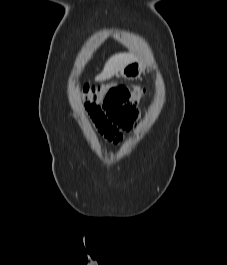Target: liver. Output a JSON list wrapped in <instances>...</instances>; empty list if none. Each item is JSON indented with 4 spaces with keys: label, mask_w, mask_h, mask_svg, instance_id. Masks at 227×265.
Here are the masks:
<instances>
[{
    "label": "liver",
    "mask_w": 227,
    "mask_h": 265,
    "mask_svg": "<svg viewBox=\"0 0 227 265\" xmlns=\"http://www.w3.org/2000/svg\"><path fill=\"white\" fill-rule=\"evenodd\" d=\"M136 60V57L130 53L115 54L105 63L102 73L95 78L97 81L110 79L115 74H118L126 65Z\"/></svg>",
    "instance_id": "liver-1"
}]
</instances>
